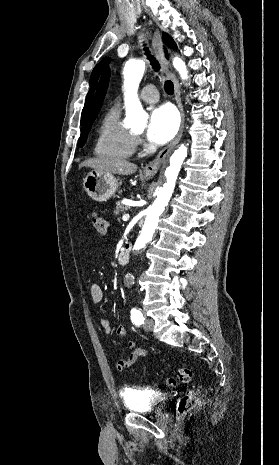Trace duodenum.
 Listing matches in <instances>:
<instances>
[{
  "label": "duodenum",
  "instance_id": "1",
  "mask_svg": "<svg viewBox=\"0 0 279 465\" xmlns=\"http://www.w3.org/2000/svg\"><path fill=\"white\" fill-rule=\"evenodd\" d=\"M130 249H131V245L130 244H126L122 249L121 251L119 252L118 254V257H117V260L119 262V264H126L129 260V253H130Z\"/></svg>",
  "mask_w": 279,
  "mask_h": 465
}]
</instances>
